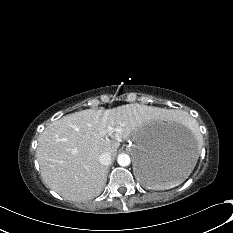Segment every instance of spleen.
<instances>
[{
	"instance_id": "spleen-1",
	"label": "spleen",
	"mask_w": 233,
	"mask_h": 233,
	"mask_svg": "<svg viewBox=\"0 0 233 233\" xmlns=\"http://www.w3.org/2000/svg\"><path fill=\"white\" fill-rule=\"evenodd\" d=\"M178 122L180 123H185V124H192L193 121L189 118V117H183V116H179L176 118ZM179 183L176 184H169V185H165V186H161V187H157L156 189H165V188H170V187H174L176 185H178Z\"/></svg>"
}]
</instances>
